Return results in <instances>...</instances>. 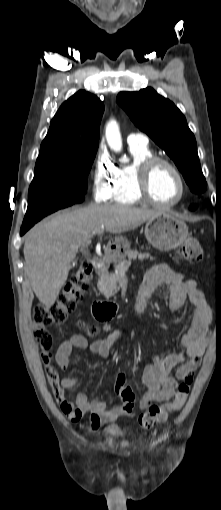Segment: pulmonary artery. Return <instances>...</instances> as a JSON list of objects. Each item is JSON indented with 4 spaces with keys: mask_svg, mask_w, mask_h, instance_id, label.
Instances as JSON below:
<instances>
[{
    "mask_svg": "<svg viewBox=\"0 0 221 510\" xmlns=\"http://www.w3.org/2000/svg\"><path fill=\"white\" fill-rule=\"evenodd\" d=\"M127 142L129 144L146 145L148 144V136L141 132H134L128 135Z\"/></svg>",
    "mask_w": 221,
    "mask_h": 510,
    "instance_id": "obj_1",
    "label": "pulmonary artery"
}]
</instances>
